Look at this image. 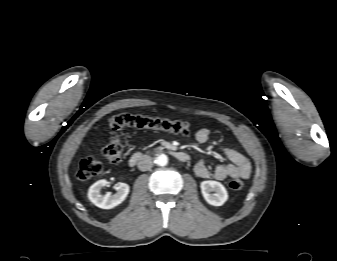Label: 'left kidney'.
I'll use <instances>...</instances> for the list:
<instances>
[{
    "mask_svg": "<svg viewBox=\"0 0 337 261\" xmlns=\"http://www.w3.org/2000/svg\"><path fill=\"white\" fill-rule=\"evenodd\" d=\"M201 192L207 203L213 206H221L228 199V193L225 187L217 181L208 180L200 184ZM215 192L211 194L210 192Z\"/></svg>",
    "mask_w": 337,
    "mask_h": 261,
    "instance_id": "5707ae66",
    "label": "left kidney"
}]
</instances>
